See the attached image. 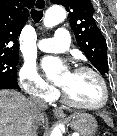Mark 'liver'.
Listing matches in <instances>:
<instances>
[{
	"label": "liver",
	"mask_w": 117,
	"mask_h": 136,
	"mask_svg": "<svg viewBox=\"0 0 117 136\" xmlns=\"http://www.w3.org/2000/svg\"><path fill=\"white\" fill-rule=\"evenodd\" d=\"M44 122L31 100L15 90H0V136H30L34 124Z\"/></svg>",
	"instance_id": "liver-1"
}]
</instances>
